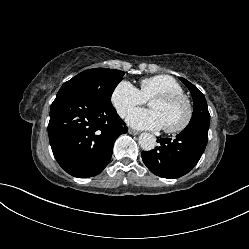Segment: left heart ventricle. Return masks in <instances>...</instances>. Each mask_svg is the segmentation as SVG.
<instances>
[{
    "mask_svg": "<svg viewBox=\"0 0 249 249\" xmlns=\"http://www.w3.org/2000/svg\"><path fill=\"white\" fill-rule=\"evenodd\" d=\"M149 108L156 111L167 127L179 125L186 116V106L182 101L165 103L157 100L149 102Z\"/></svg>",
    "mask_w": 249,
    "mask_h": 249,
    "instance_id": "obj_1",
    "label": "left heart ventricle"
}]
</instances>
